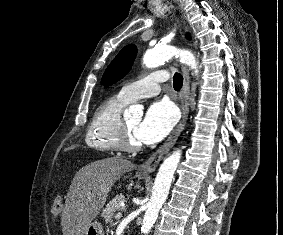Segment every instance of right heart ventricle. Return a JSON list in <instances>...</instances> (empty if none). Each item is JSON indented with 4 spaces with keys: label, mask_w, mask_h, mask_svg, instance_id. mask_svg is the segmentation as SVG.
Wrapping results in <instances>:
<instances>
[{
    "label": "right heart ventricle",
    "mask_w": 283,
    "mask_h": 235,
    "mask_svg": "<svg viewBox=\"0 0 283 235\" xmlns=\"http://www.w3.org/2000/svg\"><path fill=\"white\" fill-rule=\"evenodd\" d=\"M129 103L119 93L104 100L94 111L85 137L86 145L97 151H119L116 133L123 108Z\"/></svg>",
    "instance_id": "e07e8e85"
}]
</instances>
